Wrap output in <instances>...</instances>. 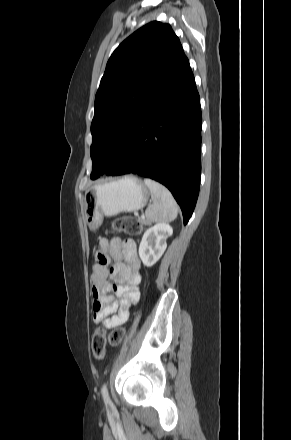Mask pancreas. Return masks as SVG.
Here are the masks:
<instances>
[{
    "instance_id": "pancreas-1",
    "label": "pancreas",
    "mask_w": 291,
    "mask_h": 440,
    "mask_svg": "<svg viewBox=\"0 0 291 440\" xmlns=\"http://www.w3.org/2000/svg\"><path fill=\"white\" fill-rule=\"evenodd\" d=\"M138 222L140 223L141 226L150 225V222L148 220H146V219L140 218V219H138Z\"/></svg>"
}]
</instances>
